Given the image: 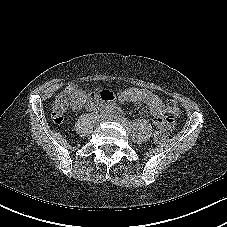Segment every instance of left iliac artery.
<instances>
[{
    "label": "left iliac artery",
    "mask_w": 227,
    "mask_h": 227,
    "mask_svg": "<svg viewBox=\"0 0 227 227\" xmlns=\"http://www.w3.org/2000/svg\"><path fill=\"white\" fill-rule=\"evenodd\" d=\"M120 119L127 125V127L132 130L133 133H136L137 132V129L136 128H133V124L131 122H128L126 120V118L124 117H120ZM133 128V129H132Z\"/></svg>",
    "instance_id": "left-iliac-artery-1"
}]
</instances>
